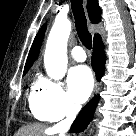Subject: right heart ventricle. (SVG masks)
<instances>
[{
    "mask_svg": "<svg viewBox=\"0 0 136 136\" xmlns=\"http://www.w3.org/2000/svg\"><path fill=\"white\" fill-rule=\"evenodd\" d=\"M34 93L35 91L32 92L29 97L31 112L34 115V117L37 118L38 120L47 121L48 119L46 118V116L35 106Z\"/></svg>",
    "mask_w": 136,
    "mask_h": 136,
    "instance_id": "right-heart-ventricle-1",
    "label": "right heart ventricle"
}]
</instances>
